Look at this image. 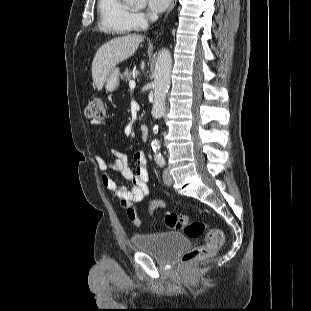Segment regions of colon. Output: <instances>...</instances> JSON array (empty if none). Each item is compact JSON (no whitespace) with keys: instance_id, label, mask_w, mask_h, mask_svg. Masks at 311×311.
I'll list each match as a JSON object with an SVG mask.
<instances>
[{"instance_id":"colon-1","label":"colon","mask_w":311,"mask_h":311,"mask_svg":"<svg viewBox=\"0 0 311 311\" xmlns=\"http://www.w3.org/2000/svg\"><path fill=\"white\" fill-rule=\"evenodd\" d=\"M85 114L93 121H101L104 118V103L101 97L92 96L86 106ZM165 226L170 229L182 230L186 236L192 239L205 234V243L194 247L182 256L183 265L206 259L214 255L224 243V235L217 228L209 227L204 221L192 220L187 215L168 213L163 220Z\"/></svg>"}]
</instances>
